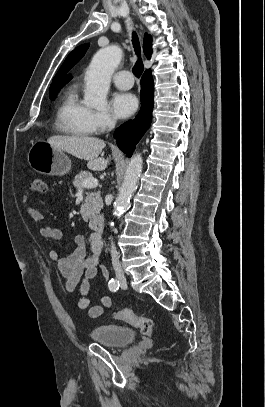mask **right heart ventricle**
<instances>
[{"label":"right heart ventricle","instance_id":"obj_1","mask_svg":"<svg viewBox=\"0 0 265 407\" xmlns=\"http://www.w3.org/2000/svg\"><path fill=\"white\" fill-rule=\"evenodd\" d=\"M90 109L78 98L77 88L66 89L56 110V127L59 131L76 137L94 133L89 122Z\"/></svg>","mask_w":265,"mask_h":407}]
</instances>
